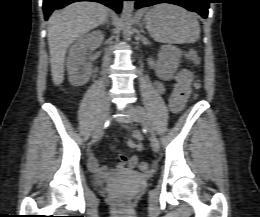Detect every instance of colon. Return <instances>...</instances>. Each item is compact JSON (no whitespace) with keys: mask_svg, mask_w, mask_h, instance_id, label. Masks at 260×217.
Masks as SVG:
<instances>
[{"mask_svg":"<svg viewBox=\"0 0 260 217\" xmlns=\"http://www.w3.org/2000/svg\"><path fill=\"white\" fill-rule=\"evenodd\" d=\"M186 57L189 61H191L193 64H198V55L195 51H189L186 53ZM194 86L195 87H198L199 86V83L196 81L194 83ZM138 169L142 172H148L150 171V166L149 164L145 163V162H142V163H139L137 165ZM114 202L118 205H125L127 204L128 202V198L125 197V196H116L113 198Z\"/></svg>","mask_w":260,"mask_h":217,"instance_id":"obj_1","label":"colon"}]
</instances>
